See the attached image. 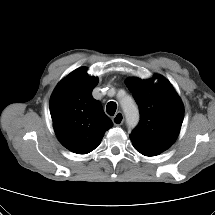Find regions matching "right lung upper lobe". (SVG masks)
I'll return each instance as SVG.
<instances>
[{
  "instance_id": "obj_1",
  "label": "right lung upper lobe",
  "mask_w": 215,
  "mask_h": 215,
  "mask_svg": "<svg viewBox=\"0 0 215 215\" xmlns=\"http://www.w3.org/2000/svg\"><path fill=\"white\" fill-rule=\"evenodd\" d=\"M98 78L88 76L87 68L67 75L50 98L55 133L63 146L77 154L98 147L104 133L113 126L99 101L92 97Z\"/></svg>"
}]
</instances>
